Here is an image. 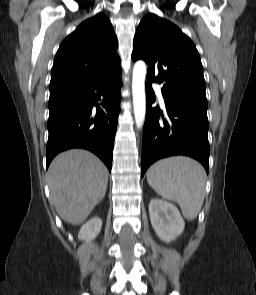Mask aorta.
Returning a JSON list of instances; mask_svg holds the SVG:
<instances>
[{
	"instance_id": "1",
	"label": "aorta",
	"mask_w": 256,
	"mask_h": 295,
	"mask_svg": "<svg viewBox=\"0 0 256 295\" xmlns=\"http://www.w3.org/2000/svg\"><path fill=\"white\" fill-rule=\"evenodd\" d=\"M146 64L137 61L133 68L132 93L136 127L141 129L145 121L146 97H145Z\"/></svg>"
}]
</instances>
